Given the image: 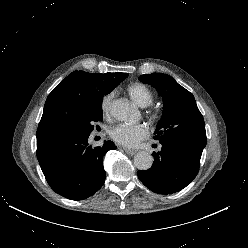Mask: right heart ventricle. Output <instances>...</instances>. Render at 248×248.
<instances>
[{"instance_id": "e07e8e85", "label": "right heart ventricle", "mask_w": 248, "mask_h": 248, "mask_svg": "<svg viewBox=\"0 0 248 248\" xmlns=\"http://www.w3.org/2000/svg\"><path fill=\"white\" fill-rule=\"evenodd\" d=\"M130 98L139 106L146 107L153 102L152 91L144 84L135 82L127 87Z\"/></svg>"}]
</instances>
